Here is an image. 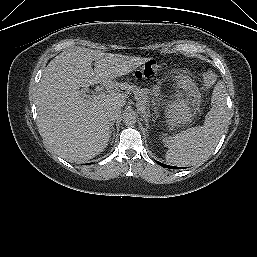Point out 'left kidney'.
I'll use <instances>...</instances> for the list:
<instances>
[{
	"instance_id": "left-kidney-1",
	"label": "left kidney",
	"mask_w": 257,
	"mask_h": 257,
	"mask_svg": "<svg viewBox=\"0 0 257 257\" xmlns=\"http://www.w3.org/2000/svg\"><path fill=\"white\" fill-rule=\"evenodd\" d=\"M166 116L168 123L177 125L189 121L190 114L187 107L182 102H177L167 108Z\"/></svg>"
}]
</instances>
